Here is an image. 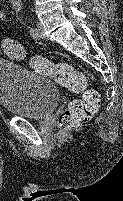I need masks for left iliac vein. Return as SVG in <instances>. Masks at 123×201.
<instances>
[{"mask_svg":"<svg viewBox=\"0 0 123 201\" xmlns=\"http://www.w3.org/2000/svg\"><path fill=\"white\" fill-rule=\"evenodd\" d=\"M36 30H37V35H36V39H45L46 37H45V34H44V29H43V26H42V24H40V23H37V28H36Z\"/></svg>","mask_w":123,"mask_h":201,"instance_id":"obj_1","label":"left iliac vein"}]
</instances>
